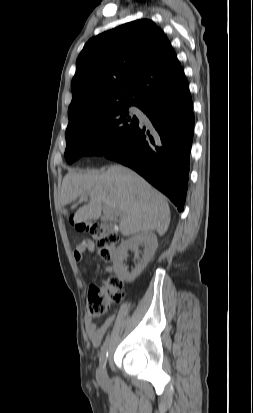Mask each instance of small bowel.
Instances as JSON below:
<instances>
[{
	"mask_svg": "<svg viewBox=\"0 0 253 413\" xmlns=\"http://www.w3.org/2000/svg\"><path fill=\"white\" fill-rule=\"evenodd\" d=\"M94 250V244L91 241H84L78 244L73 252V258L78 265L85 269L83 265V256L86 251L92 252ZM115 313L110 314L101 324L95 322V318L87 316L85 318V329L88 337L90 338L94 346H99L104 336L110 330L114 320Z\"/></svg>",
	"mask_w": 253,
	"mask_h": 413,
	"instance_id": "c3829d8e",
	"label": "small bowel"
}]
</instances>
